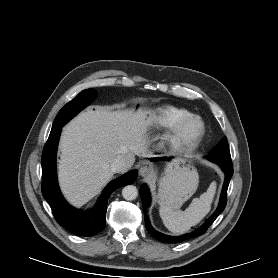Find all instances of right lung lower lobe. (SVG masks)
Segmentation results:
<instances>
[{
    "label": "right lung lower lobe",
    "instance_id": "1",
    "mask_svg": "<svg viewBox=\"0 0 278 278\" xmlns=\"http://www.w3.org/2000/svg\"><path fill=\"white\" fill-rule=\"evenodd\" d=\"M62 127L52 129L42 154V194L49 203L57 222L70 232L92 236L105 228L108 199L116 189L132 184L137 171H131L112 181L104 189L93 209L81 211L71 207L63 198L56 175V152Z\"/></svg>",
    "mask_w": 278,
    "mask_h": 278
}]
</instances>
